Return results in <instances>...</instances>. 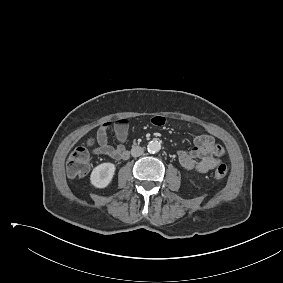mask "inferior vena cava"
<instances>
[{"instance_id":"602c4592","label":"inferior vena cava","mask_w":283,"mask_h":283,"mask_svg":"<svg viewBox=\"0 0 283 283\" xmlns=\"http://www.w3.org/2000/svg\"><path fill=\"white\" fill-rule=\"evenodd\" d=\"M143 153H144V149L140 146H134L131 149V155L133 157H138V156L142 155Z\"/></svg>"}]
</instances>
